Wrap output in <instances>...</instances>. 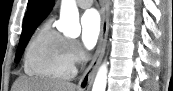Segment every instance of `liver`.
Returning <instances> with one entry per match:
<instances>
[{
	"label": "liver",
	"instance_id": "obj_1",
	"mask_svg": "<svg viewBox=\"0 0 173 91\" xmlns=\"http://www.w3.org/2000/svg\"><path fill=\"white\" fill-rule=\"evenodd\" d=\"M12 91H76V86L62 80H40L37 78L19 77Z\"/></svg>",
	"mask_w": 173,
	"mask_h": 91
}]
</instances>
